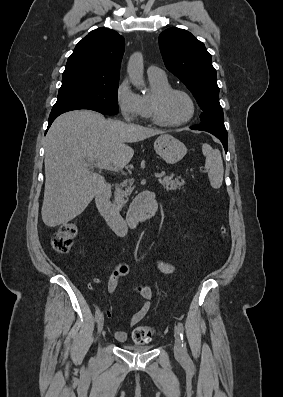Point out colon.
I'll list each match as a JSON object with an SVG mask.
<instances>
[{
  "instance_id": "5ec220e1",
  "label": "colon",
  "mask_w": 283,
  "mask_h": 397,
  "mask_svg": "<svg viewBox=\"0 0 283 397\" xmlns=\"http://www.w3.org/2000/svg\"><path fill=\"white\" fill-rule=\"evenodd\" d=\"M78 233V226L75 221L64 223L60 226L58 231L54 234L51 245L55 252L59 254L68 253L71 249L73 241ZM227 228L221 229L222 238L227 237ZM155 336V332L150 327L139 326L134 329L132 334V340L137 345L148 344Z\"/></svg>"
}]
</instances>
